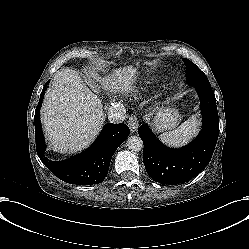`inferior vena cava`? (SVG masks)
Masks as SVG:
<instances>
[{
	"instance_id": "602c4592",
	"label": "inferior vena cava",
	"mask_w": 249,
	"mask_h": 249,
	"mask_svg": "<svg viewBox=\"0 0 249 249\" xmlns=\"http://www.w3.org/2000/svg\"><path fill=\"white\" fill-rule=\"evenodd\" d=\"M107 118L111 123H122L126 119V109L123 104L113 102L107 107Z\"/></svg>"
}]
</instances>
